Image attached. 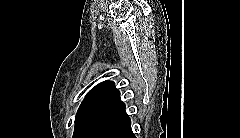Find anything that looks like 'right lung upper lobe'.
<instances>
[{"mask_svg":"<svg viewBox=\"0 0 240 138\" xmlns=\"http://www.w3.org/2000/svg\"><path fill=\"white\" fill-rule=\"evenodd\" d=\"M123 108H125V105L120 99V93L114 82L104 81L88 92L78 109L77 115L105 114L110 116Z\"/></svg>","mask_w":240,"mask_h":138,"instance_id":"cb5924a9","label":"right lung upper lobe"}]
</instances>
